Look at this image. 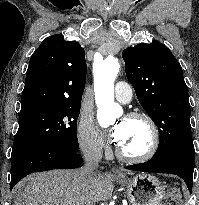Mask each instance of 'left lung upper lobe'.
Returning a JSON list of instances; mask_svg holds the SVG:
<instances>
[{"label": "left lung upper lobe", "instance_id": "1", "mask_svg": "<svg viewBox=\"0 0 199 205\" xmlns=\"http://www.w3.org/2000/svg\"><path fill=\"white\" fill-rule=\"evenodd\" d=\"M122 57L126 76L140 104L160 132V144L153 159L177 152L195 153L188 88L172 52L154 40L125 49Z\"/></svg>", "mask_w": 199, "mask_h": 205}]
</instances>
